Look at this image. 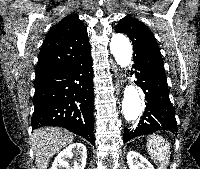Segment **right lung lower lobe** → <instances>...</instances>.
Here are the masks:
<instances>
[{"mask_svg": "<svg viewBox=\"0 0 200 169\" xmlns=\"http://www.w3.org/2000/svg\"><path fill=\"white\" fill-rule=\"evenodd\" d=\"M34 86L32 130L41 126H60L94 145L90 54L69 68L35 78Z\"/></svg>", "mask_w": 200, "mask_h": 169, "instance_id": "98d812e1", "label": "right lung lower lobe"}]
</instances>
